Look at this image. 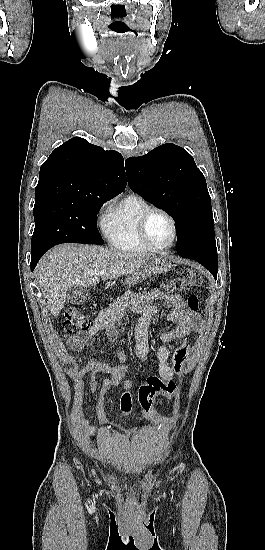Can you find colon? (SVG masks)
I'll return each mask as SVG.
<instances>
[{"mask_svg":"<svg viewBox=\"0 0 265 550\" xmlns=\"http://www.w3.org/2000/svg\"><path fill=\"white\" fill-rule=\"evenodd\" d=\"M202 282L199 274L191 269H182L178 276L169 281L167 288L170 291H189ZM188 306L191 311L196 312L198 310L199 302L196 295L192 294L188 297ZM63 328L66 332H75L81 330H87L90 328V319L87 314L82 312L77 307H68L64 311L63 315ZM167 394V398L175 396V389L173 385L167 384L162 378L153 376L150 377L144 384H142L137 393V402L141 412L144 416L152 420L159 418L158 413L154 408L155 399L158 396Z\"/></svg>","mask_w":265,"mask_h":550,"instance_id":"1","label":"colon"}]
</instances>
